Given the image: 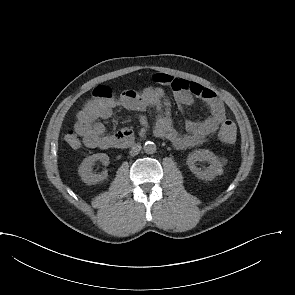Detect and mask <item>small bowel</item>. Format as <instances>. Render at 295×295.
Returning a JSON list of instances; mask_svg holds the SVG:
<instances>
[{
	"instance_id": "1",
	"label": "small bowel",
	"mask_w": 295,
	"mask_h": 295,
	"mask_svg": "<svg viewBox=\"0 0 295 295\" xmlns=\"http://www.w3.org/2000/svg\"><path fill=\"white\" fill-rule=\"evenodd\" d=\"M154 80L171 88L174 100L181 108L192 105L195 98H199L206 104L210 115L200 121H188L186 131L181 133L173 126L170 101L161 86H150L140 91L127 90L117 98L87 101L77 114L74 130L66 134V142L73 149L80 148L82 144L92 149L115 148L116 141L124 135H132V130L123 128L115 134H107L100 120L109 119L118 107L140 112L154 109L157 112L155 135L167 139L179 150L200 145L227 121L223 103L210 88L164 73L156 74Z\"/></svg>"
}]
</instances>
